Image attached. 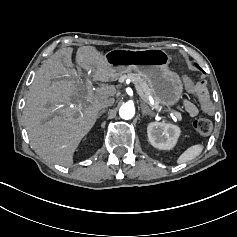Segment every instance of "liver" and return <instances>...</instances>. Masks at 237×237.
<instances>
[{"label":"liver","instance_id":"1","mask_svg":"<svg viewBox=\"0 0 237 237\" xmlns=\"http://www.w3.org/2000/svg\"><path fill=\"white\" fill-rule=\"evenodd\" d=\"M72 52L70 47L60 49L45 61L29 87L23 110L26 131L35 153L46 162L64 167L73 165L74 154L94 126L102 101L117 95L115 86L100 87L91 105L79 111L84 102L79 103L77 94L84 84L82 74L73 68ZM75 63L91 70L93 81L110 83L115 78L104 54L94 46L79 47Z\"/></svg>","mask_w":237,"mask_h":237}]
</instances>
